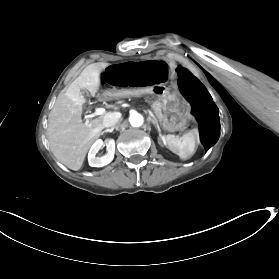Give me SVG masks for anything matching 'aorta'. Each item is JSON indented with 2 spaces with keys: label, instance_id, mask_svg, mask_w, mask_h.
I'll use <instances>...</instances> for the list:
<instances>
[{
  "label": "aorta",
  "instance_id": "obj_1",
  "mask_svg": "<svg viewBox=\"0 0 279 279\" xmlns=\"http://www.w3.org/2000/svg\"><path fill=\"white\" fill-rule=\"evenodd\" d=\"M129 122L133 127H139L143 124V116L139 113L132 114L129 117Z\"/></svg>",
  "mask_w": 279,
  "mask_h": 279
}]
</instances>
